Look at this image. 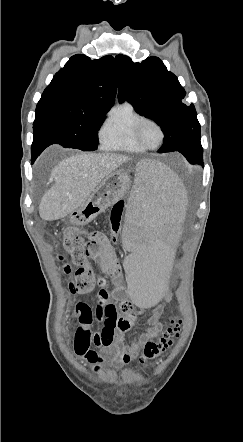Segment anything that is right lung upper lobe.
<instances>
[{"instance_id": "obj_1", "label": "right lung upper lobe", "mask_w": 243, "mask_h": 442, "mask_svg": "<svg viewBox=\"0 0 243 442\" xmlns=\"http://www.w3.org/2000/svg\"><path fill=\"white\" fill-rule=\"evenodd\" d=\"M117 90V68L112 56L91 60L72 56L53 77L40 100L59 101L81 111H108Z\"/></svg>"}]
</instances>
